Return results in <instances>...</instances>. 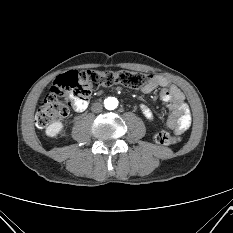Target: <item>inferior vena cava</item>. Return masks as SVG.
<instances>
[{
  "label": "inferior vena cava",
  "mask_w": 233,
  "mask_h": 233,
  "mask_svg": "<svg viewBox=\"0 0 233 233\" xmlns=\"http://www.w3.org/2000/svg\"><path fill=\"white\" fill-rule=\"evenodd\" d=\"M103 109V106L101 103L99 102H96V103H93L92 107H91V110L95 113H99L101 112Z\"/></svg>",
  "instance_id": "1"
}]
</instances>
